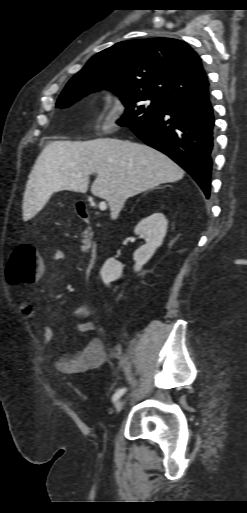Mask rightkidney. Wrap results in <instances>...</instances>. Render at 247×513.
<instances>
[{
    "instance_id": "right-kidney-1",
    "label": "right kidney",
    "mask_w": 247,
    "mask_h": 513,
    "mask_svg": "<svg viewBox=\"0 0 247 513\" xmlns=\"http://www.w3.org/2000/svg\"><path fill=\"white\" fill-rule=\"evenodd\" d=\"M168 220L162 213H154L141 220L135 227L134 233L145 239L146 244L139 247L134 252L135 271L141 267L153 256L156 249L162 245L166 235ZM101 278L105 285L117 280L122 275V265L114 258L108 259L100 271Z\"/></svg>"
}]
</instances>
